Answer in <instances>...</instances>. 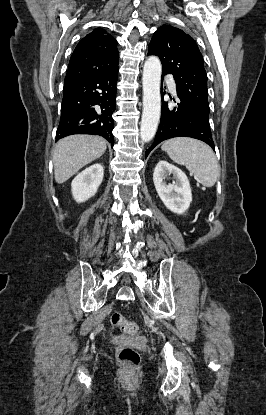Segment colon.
<instances>
[{
    "mask_svg": "<svg viewBox=\"0 0 266 415\" xmlns=\"http://www.w3.org/2000/svg\"><path fill=\"white\" fill-rule=\"evenodd\" d=\"M110 322L114 327L127 335L135 334L139 329L136 322L126 319L118 312L111 314ZM116 354L119 362L127 368H136L140 363L139 353L129 346L119 345L116 348Z\"/></svg>",
    "mask_w": 266,
    "mask_h": 415,
    "instance_id": "5ec220e1",
    "label": "colon"
}]
</instances>
